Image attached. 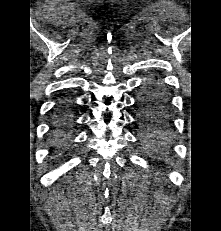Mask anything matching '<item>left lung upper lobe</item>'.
Wrapping results in <instances>:
<instances>
[{
	"instance_id": "1",
	"label": "left lung upper lobe",
	"mask_w": 221,
	"mask_h": 231,
	"mask_svg": "<svg viewBox=\"0 0 221 231\" xmlns=\"http://www.w3.org/2000/svg\"><path fill=\"white\" fill-rule=\"evenodd\" d=\"M161 86L162 85L160 84V87L156 90L147 89L139 98V120L146 126V128L151 130L145 135V139H148L152 135L156 136L153 131L164 129L168 124V98L162 91ZM152 99L157 100L156 104H151Z\"/></svg>"
}]
</instances>
